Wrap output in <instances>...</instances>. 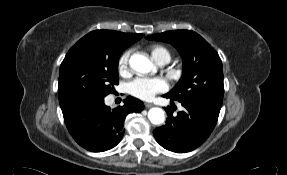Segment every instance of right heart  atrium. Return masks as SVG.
<instances>
[{
	"mask_svg": "<svg viewBox=\"0 0 287 175\" xmlns=\"http://www.w3.org/2000/svg\"><path fill=\"white\" fill-rule=\"evenodd\" d=\"M131 51H125L121 54L118 59V71L120 74L124 75L129 70V58H130Z\"/></svg>",
	"mask_w": 287,
	"mask_h": 175,
	"instance_id": "d8ad5b80",
	"label": "right heart atrium"
}]
</instances>
